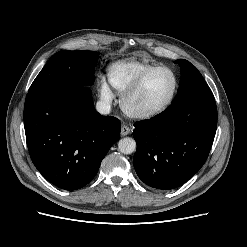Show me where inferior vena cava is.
Wrapping results in <instances>:
<instances>
[{
    "label": "inferior vena cava",
    "mask_w": 247,
    "mask_h": 247,
    "mask_svg": "<svg viewBox=\"0 0 247 247\" xmlns=\"http://www.w3.org/2000/svg\"><path fill=\"white\" fill-rule=\"evenodd\" d=\"M96 110L102 115H107L110 113L111 106L108 102L100 100L96 104Z\"/></svg>",
    "instance_id": "602c4592"
}]
</instances>
